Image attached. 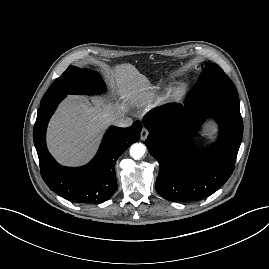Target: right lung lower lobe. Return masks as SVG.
<instances>
[{"label": "right lung lower lobe", "instance_id": "right-lung-lower-lobe-1", "mask_svg": "<svg viewBox=\"0 0 269 269\" xmlns=\"http://www.w3.org/2000/svg\"><path fill=\"white\" fill-rule=\"evenodd\" d=\"M65 96L41 103L33 131L40 171L49 188L77 203H99L117 190L115 163L120 155L140 139L142 124L135 121L128 128L111 127L105 134L95 158L85 166H60L46 147V128L50 117Z\"/></svg>", "mask_w": 269, "mask_h": 269}]
</instances>
